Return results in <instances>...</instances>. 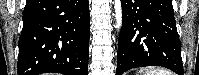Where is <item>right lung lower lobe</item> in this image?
<instances>
[{"label":"right lung lower lobe","instance_id":"1","mask_svg":"<svg viewBox=\"0 0 199 75\" xmlns=\"http://www.w3.org/2000/svg\"><path fill=\"white\" fill-rule=\"evenodd\" d=\"M88 0H26L18 75H88Z\"/></svg>","mask_w":199,"mask_h":75}]
</instances>
